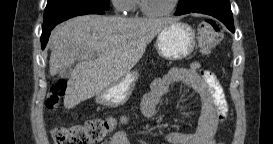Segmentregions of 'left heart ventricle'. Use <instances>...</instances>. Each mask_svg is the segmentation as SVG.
Returning a JSON list of instances; mask_svg holds the SVG:
<instances>
[{
  "mask_svg": "<svg viewBox=\"0 0 273 144\" xmlns=\"http://www.w3.org/2000/svg\"><path fill=\"white\" fill-rule=\"evenodd\" d=\"M172 2L173 0H147L148 7L152 10H165Z\"/></svg>",
  "mask_w": 273,
  "mask_h": 144,
  "instance_id": "b2bd125f",
  "label": "left heart ventricle"
}]
</instances>
